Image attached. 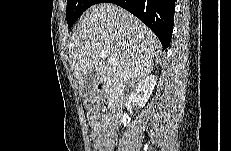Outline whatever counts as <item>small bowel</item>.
Segmentation results:
<instances>
[{
	"label": "small bowel",
	"instance_id": "obj_1",
	"mask_svg": "<svg viewBox=\"0 0 231 151\" xmlns=\"http://www.w3.org/2000/svg\"><path fill=\"white\" fill-rule=\"evenodd\" d=\"M112 122V118L106 114L89 117L88 124L96 151H113L117 134Z\"/></svg>",
	"mask_w": 231,
	"mask_h": 151
}]
</instances>
